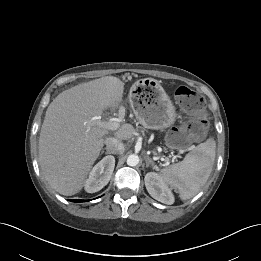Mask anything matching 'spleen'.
Listing matches in <instances>:
<instances>
[{
    "label": "spleen",
    "mask_w": 261,
    "mask_h": 261,
    "mask_svg": "<svg viewBox=\"0 0 261 261\" xmlns=\"http://www.w3.org/2000/svg\"><path fill=\"white\" fill-rule=\"evenodd\" d=\"M215 141L208 139L189 152L183 161L161 170L163 181L179 192L182 200L199 193L207 182L215 160Z\"/></svg>",
    "instance_id": "spleen-1"
}]
</instances>
